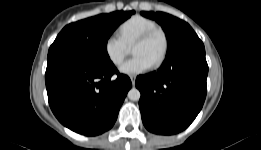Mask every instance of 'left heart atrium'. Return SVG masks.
<instances>
[{"label": "left heart atrium", "instance_id": "obj_1", "mask_svg": "<svg viewBox=\"0 0 261 150\" xmlns=\"http://www.w3.org/2000/svg\"><path fill=\"white\" fill-rule=\"evenodd\" d=\"M152 67V63L142 55H134L127 60L121 67L123 74L135 76L148 71Z\"/></svg>", "mask_w": 261, "mask_h": 150}]
</instances>
